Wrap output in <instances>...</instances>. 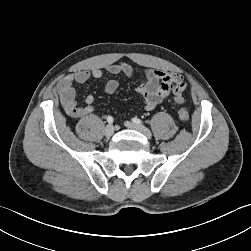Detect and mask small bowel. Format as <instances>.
<instances>
[{"label":"small bowel","instance_id":"obj_1","mask_svg":"<svg viewBox=\"0 0 251 251\" xmlns=\"http://www.w3.org/2000/svg\"><path fill=\"white\" fill-rule=\"evenodd\" d=\"M106 71L112 75H125L134 77L137 71L128 63L121 62L111 64L106 67ZM144 82L138 87L137 91L144 98L146 110H153L158 104L163 102L169 95H173L178 104L183 103L182 94L186 89L183 78L175 73H169L156 69H147L142 73ZM104 76L102 69L80 70L62 78L58 83V92L62 107L66 114L71 118H81L92 114L95 111L94 97L89 95L85 98L84 105H78L75 84H83L90 79H101ZM119 87L115 79L105 82L104 90L107 94H114Z\"/></svg>","mask_w":251,"mask_h":251}]
</instances>
